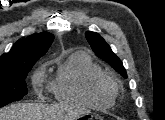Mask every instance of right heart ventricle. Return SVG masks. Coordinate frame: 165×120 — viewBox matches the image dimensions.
Returning <instances> with one entry per match:
<instances>
[{"label": "right heart ventricle", "mask_w": 165, "mask_h": 120, "mask_svg": "<svg viewBox=\"0 0 165 120\" xmlns=\"http://www.w3.org/2000/svg\"><path fill=\"white\" fill-rule=\"evenodd\" d=\"M101 67L84 51H74L58 62L51 89L58 101L93 108H108L116 91L100 84Z\"/></svg>", "instance_id": "right-heart-ventricle-1"}]
</instances>
